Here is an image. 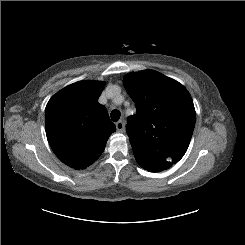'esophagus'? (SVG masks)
Returning <instances> with one entry per match:
<instances>
[{
    "label": "esophagus",
    "instance_id": "34e87169",
    "mask_svg": "<svg viewBox=\"0 0 245 245\" xmlns=\"http://www.w3.org/2000/svg\"><path fill=\"white\" fill-rule=\"evenodd\" d=\"M116 129H117V131L120 132V133L125 132V123H124L122 120L118 121V122L116 123Z\"/></svg>",
    "mask_w": 245,
    "mask_h": 245
}]
</instances>
